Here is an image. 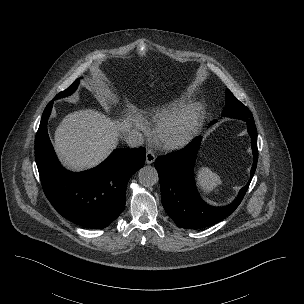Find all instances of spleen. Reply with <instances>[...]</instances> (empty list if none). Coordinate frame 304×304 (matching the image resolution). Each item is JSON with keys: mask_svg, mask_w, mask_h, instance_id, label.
Returning <instances> with one entry per match:
<instances>
[{"mask_svg": "<svg viewBox=\"0 0 304 304\" xmlns=\"http://www.w3.org/2000/svg\"><path fill=\"white\" fill-rule=\"evenodd\" d=\"M197 185L199 189L207 194L216 189L217 186L221 185V180L218 175L213 173L208 168H200L197 171Z\"/></svg>", "mask_w": 304, "mask_h": 304, "instance_id": "1", "label": "spleen"}]
</instances>
